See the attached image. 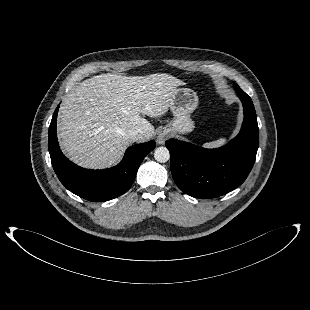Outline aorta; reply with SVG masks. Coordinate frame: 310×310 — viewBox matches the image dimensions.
Listing matches in <instances>:
<instances>
[{"mask_svg": "<svg viewBox=\"0 0 310 310\" xmlns=\"http://www.w3.org/2000/svg\"><path fill=\"white\" fill-rule=\"evenodd\" d=\"M154 158L157 162L165 163L170 159L169 150L166 147H158L154 151Z\"/></svg>", "mask_w": 310, "mask_h": 310, "instance_id": "obj_1", "label": "aorta"}]
</instances>
